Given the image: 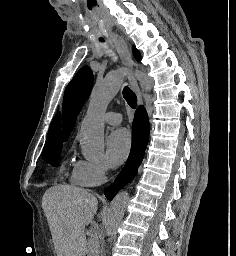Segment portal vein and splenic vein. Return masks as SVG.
<instances>
[{
	"label": "portal vein and splenic vein",
	"mask_w": 236,
	"mask_h": 256,
	"mask_svg": "<svg viewBox=\"0 0 236 256\" xmlns=\"http://www.w3.org/2000/svg\"><path fill=\"white\" fill-rule=\"evenodd\" d=\"M93 228H97L96 224H94Z\"/></svg>",
	"instance_id": "1"
}]
</instances>
